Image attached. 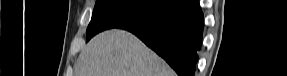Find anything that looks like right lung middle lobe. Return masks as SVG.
<instances>
[{
	"mask_svg": "<svg viewBox=\"0 0 287 76\" xmlns=\"http://www.w3.org/2000/svg\"><path fill=\"white\" fill-rule=\"evenodd\" d=\"M172 0H97L87 28L88 38L112 28H138L160 15Z\"/></svg>",
	"mask_w": 287,
	"mask_h": 76,
	"instance_id": "right-lung-middle-lobe-1",
	"label": "right lung middle lobe"
}]
</instances>
